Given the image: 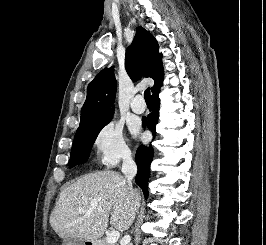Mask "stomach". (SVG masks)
I'll return each instance as SVG.
<instances>
[{
    "instance_id": "stomach-1",
    "label": "stomach",
    "mask_w": 266,
    "mask_h": 245,
    "mask_svg": "<svg viewBox=\"0 0 266 245\" xmlns=\"http://www.w3.org/2000/svg\"><path fill=\"white\" fill-rule=\"evenodd\" d=\"M76 245H98V241H81V239H76Z\"/></svg>"
}]
</instances>
